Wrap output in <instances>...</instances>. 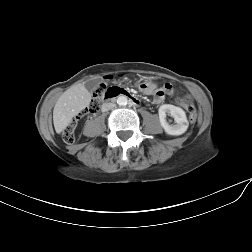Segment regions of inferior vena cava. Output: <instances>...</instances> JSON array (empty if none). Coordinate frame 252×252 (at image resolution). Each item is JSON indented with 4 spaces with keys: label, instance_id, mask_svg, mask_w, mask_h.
I'll return each mask as SVG.
<instances>
[{
    "label": "inferior vena cava",
    "instance_id": "602c4592",
    "mask_svg": "<svg viewBox=\"0 0 252 252\" xmlns=\"http://www.w3.org/2000/svg\"><path fill=\"white\" fill-rule=\"evenodd\" d=\"M115 107V104L114 103H104L102 105V111L105 112V111H108V110H111Z\"/></svg>",
    "mask_w": 252,
    "mask_h": 252
}]
</instances>
